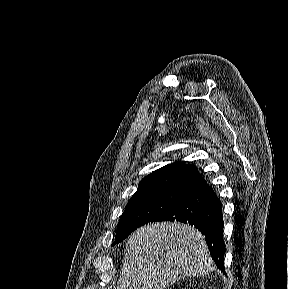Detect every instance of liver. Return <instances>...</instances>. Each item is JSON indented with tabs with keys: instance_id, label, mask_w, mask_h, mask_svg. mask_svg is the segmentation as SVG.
<instances>
[{
	"instance_id": "1",
	"label": "liver",
	"mask_w": 288,
	"mask_h": 289,
	"mask_svg": "<svg viewBox=\"0 0 288 289\" xmlns=\"http://www.w3.org/2000/svg\"><path fill=\"white\" fill-rule=\"evenodd\" d=\"M213 269L198 230L178 222L151 223L129 237L116 289H165L185 276H204Z\"/></svg>"
}]
</instances>
